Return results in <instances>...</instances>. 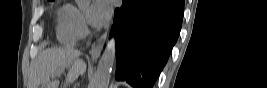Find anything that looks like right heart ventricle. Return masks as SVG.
<instances>
[{
	"mask_svg": "<svg viewBox=\"0 0 267 88\" xmlns=\"http://www.w3.org/2000/svg\"><path fill=\"white\" fill-rule=\"evenodd\" d=\"M77 9L73 6L67 5L58 11V37L63 43H73L75 41L70 30V23L76 14Z\"/></svg>",
	"mask_w": 267,
	"mask_h": 88,
	"instance_id": "e07e8e85",
	"label": "right heart ventricle"
}]
</instances>
